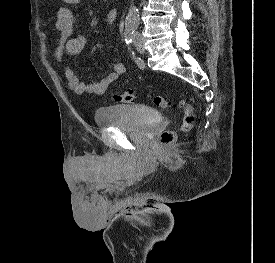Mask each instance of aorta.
I'll list each match as a JSON object with an SVG mask.
<instances>
[{
  "mask_svg": "<svg viewBox=\"0 0 275 263\" xmlns=\"http://www.w3.org/2000/svg\"><path fill=\"white\" fill-rule=\"evenodd\" d=\"M139 24V11L138 8L132 6L126 17L125 26L134 29Z\"/></svg>",
  "mask_w": 275,
  "mask_h": 263,
  "instance_id": "1",
  "label": "aorta"
}]
</instances>
